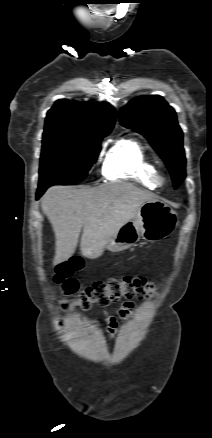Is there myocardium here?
Listing matches in <instances>:
<instances>
[{"label":"myocardium","mask_w":212,"mask_h":438,"mask_svg":"<svg viewBox=\"0 0 212 438\" xmlns=\"http://www.w3.org/2000/svg\"><path fill=\"white\" fill-rule=\"evenodd\" d=\"M151 178L157 187L164 186L167 182L166 174L159 169H154L152 171Z\"/></svg>","instance_id":"myocardium-1"}]
</instances>
